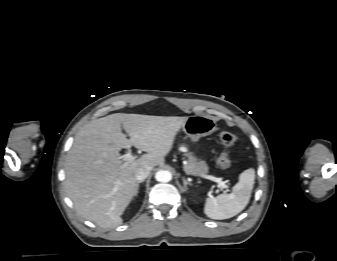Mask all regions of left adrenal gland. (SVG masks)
Returning <instances> with one entry per match:
<instances>
[{
  "label": "left adrenal gland",
  "instance_id": "obj_1",
  "mask_svg": "<svg viewBox=\"0 0 337 261\" xmlns=\"http://www.w3.org/2000/svg\"><path fill=\"white\" fill-rule=\"evenodd\" d=\"M183 184H184V191L187 190V185H192L191 183L187 182V180L183 177Z\"/></svg>",
  "mask_w": 337,
  "mask_h": 261
}]
</instances>
